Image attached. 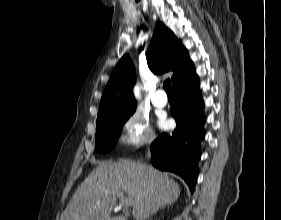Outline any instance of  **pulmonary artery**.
<instances>
[{
    "label": "pulmonary artery",
    "instance_id": "obj_1",
    "mask_svg": "<svg viewBox=\"0 0 281 220\" xmlns=\"http://www.w3.org/2000/svg\"><path fill=\"white\" fill-rule=\"evenodd\" d=\"M152 103L156 107H164L167 104V96L162 89H157L152 97Z\"/></svg>",
    "mask_w": 281,
    "mask_h": 220
}]
</instances>
